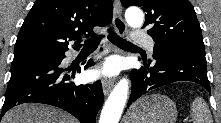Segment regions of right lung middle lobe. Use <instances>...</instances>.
Returning <instances> with one entry per match:
<instances>
[{"label":"right lung middle lobe","instance_id":"right-lung-middle-lobe-1","mask_svg":"<svg viewBox=\"0 0 221 123\" xmlns=\"http://www.w3.org/2000/svg\"><path fill=\"white\" fill-rule=\"evenodd\" d=\"M64 54L61 53H35V54H23L14 55L11 67H16L26 63L38 62V61H58L62 59Z\"/></svg>","mask_w":221,"mask_h":123}]
</instances>
